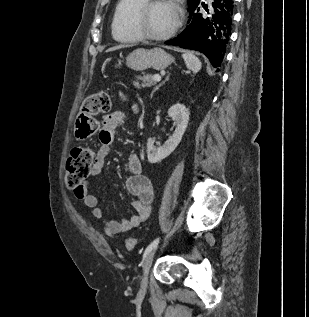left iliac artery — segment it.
<instances>
[{"instance_id": "left-iliac-artery-1", "label": "left iliac artery", "mask_w": 309, "mask_h": 317, "mask_svg": "<svg viewBox=\"0 0 309 317\" xmlns=\"http://www.w3.org/2000/svg\"><path fill=\"white\" fill-rule=\"evenodd\" d=\"M159 240H160V238L158 237V238H156L153 242H151V243L148 245V247L145 249V252H144V254H143V257H146L147 254H148L154 247H156V246L158 245Z\"/></svg>"}]
</instances>
